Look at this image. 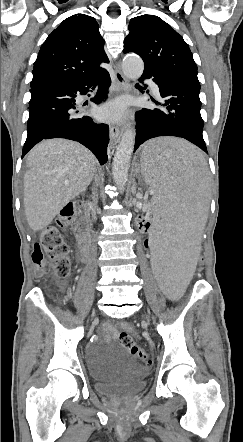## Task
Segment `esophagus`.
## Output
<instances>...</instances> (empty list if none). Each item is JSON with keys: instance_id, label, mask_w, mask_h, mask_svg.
I'll return each instance as SVG.
<instances>
[{"instance_id": "1", "label": "esophagus", "mask_w": 243, "mask_h": 442, "mask_svg": "<svg viewBox=\"0 0 243 442\" xmlns=\"http://www.w3.org/2000/svg\"><path fill=\"white\" fill-rule=\"evenodd\" d=\"M114 77H115V81L119 87H121L123 89L127 88V86H128L127 79L125 78V76L123 75V73L120 69L119 62H117L116 66H115ZM122 133H123L122 126L113 125L110 127V141H111V149L112 150H114L116 144L120 140Z\"/></svg>"}]
</instances>
